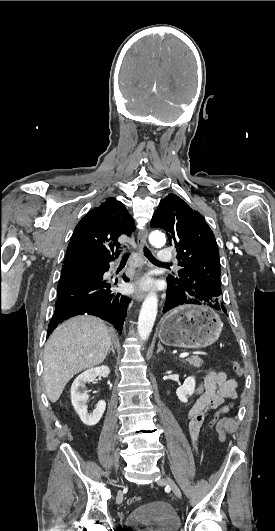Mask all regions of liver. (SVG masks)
I'll return each instance as SVG.
<instances>
[{"label": "liver", "instance_id": "1", "mask_svg": "<svg viewBox=\"0 0 275 531\" xmlns=\"http://www.w3.org/2000/svg\"><path fill=\"white\" fill-rule=\"evenodd\" d=\"M111 343L110 331L98 317L79 315L59 325L44 349L43 381L51 403L74 375L103 363Z\"/></svg>", "mask_w": 275, "mask_h": 531}]
</instances>
